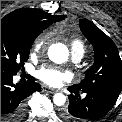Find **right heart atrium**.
I'll return each instance as SVG.
<instances>
[{
  "label": "right heart atrium",
  "instance_id": "right-heart-atrium-1",
  "mask_svg": "<svg viewBox=\"0 0 122 122\" xmlns=\"http://www.w3.org/2000/svg\"><path fill=\"white\" fill-rule=\"evenodd\" d=\"M48 41H49V37L47 35H42V36L38 37L34 43V50L36 52H39V51L45 49L48 44Z\"/></svg>",
  "mask_w": 122,
  "mask_h": 122
}]
</instances>
